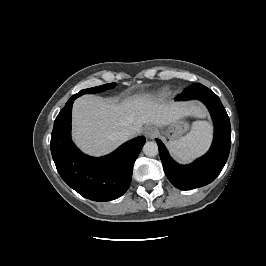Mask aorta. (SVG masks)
<instances>
[{"mask_svg": "<svg viewBox=\"0 0 266 266\" xmlns=\"http://www.w3.org/2000/svg\"><path fill=\"white\" fill-rule=\"evenodd\" d=\"M143 153L148 157H154L158 154V146L156 142H146L143 146Z\"/></svg>", "mask_w": 266, "mask_h": 266, "instance_id": "aorta-1", "label": "aorta"}]
</instances>
